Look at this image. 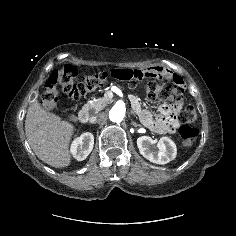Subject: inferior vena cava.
Segmentation results:
<instances>
[{"label": "inferior vena cava", "mask_w": 236, "mask_h": 236, "mask_svg": "<svg viewBox=\"0 0 236 236\" xmlns=\"http://www.w3.org/2000/svg\"><path fill=\"white\" fill-rule=\"evenodd\" d=\"M102 118H103V114L99 113V114H97V115H95V116L90 117L89 122H90V123H96V122L101 121Z\"/></svg>", "instance_id": "inferior-vena-cava-1"}]
</instances>
